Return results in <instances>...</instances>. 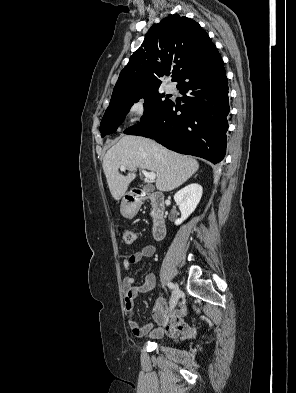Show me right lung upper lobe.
Returning <instances> with one entry per match:
<instances>
[{
	"instance_id": "right-lung-upper-lobe-1",
	"label": "right lung upper lobe",
	"mask_w": 296,
	"mask_h": 393,
	"mask_svg": "<svg viewBox=\"0 0 296 393\" xmlns=\"http://www.w3.org/2000/svg\"><path fill=\"white\" fill-rule=\"evenodd\" d=\"M214 44L194 20L170 15L153 25L119 75L111 101L126 99L159 88L161 78L172 71L179 77Z\"/></svg>"
}]
</instances>
